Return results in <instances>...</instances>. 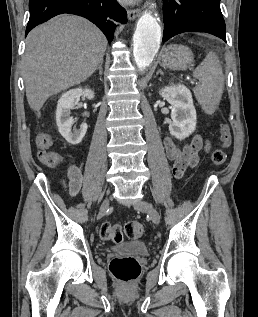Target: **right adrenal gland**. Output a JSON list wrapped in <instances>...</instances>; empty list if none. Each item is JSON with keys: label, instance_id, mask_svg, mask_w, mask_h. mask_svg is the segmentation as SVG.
I'll list each match as a JSON object with an SVG mask.
<instances>
[{"label": "right adrenal gland", "instance_id": "2a0ac1e0", "mask_svg": "<svg viewBox=\"0 0 258 317\" xmlns=\"http://www.w3.org/2000/svg\"><path fill=\"white\" fill-rule=\"evenodd\" d=\"M103 60L102 62H99L98 66H96L95 70H99V74H103V68H102Z\"/></svg>", "mask_w": 258, "mask_h": 317}]
</instances>
